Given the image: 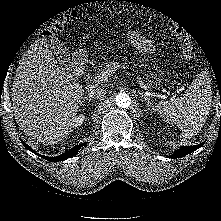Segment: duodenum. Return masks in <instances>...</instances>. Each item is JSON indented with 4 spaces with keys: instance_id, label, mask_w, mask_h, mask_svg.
I'll use <instances>...</instances> for the list:
<instances>
[{
    "instance_id": "410a0bca",
    "label": "duodenum",
    "mask_w": 221,
    "mask_h": 221,
    "mask_svg": "<svg viewBox=\"0 0 221 221\" xmlns=\"http://www.w3.org/2000/svg\"><path fill=\"white\" fill-rule=\"evenodd\" d=\"M76 62H77V68H76L77 72L83 73L85 69V64H84L83 59L81 57H77Z\"/></svg>"
}]
</instances>
